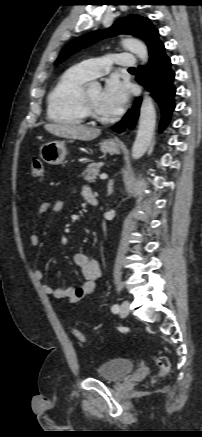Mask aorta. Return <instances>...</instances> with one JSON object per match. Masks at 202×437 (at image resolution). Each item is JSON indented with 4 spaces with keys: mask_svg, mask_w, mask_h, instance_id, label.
Masks as SVG:
<instances>
[{
    "mask_svg": "<svg viewBox=\"0 0 202 437\" xmlns=\"http://www.w3.org/2000/svg\"><path fill=\"white\" fill-rule=\"evenodd\" d=\"M122 45L133 52L143 64L149 59L147 46L136 38H126ZM91 89L100 90L101 85L98 82L90 84ZM156 112L151 96L148 92L144 93L143 101L140 108V118L138 132L132 147L131 156L133 159L141 158L149 148L155 130Z\"/></svg>",
    "mask_w": 202,
    "mask_h": 437,
    "instance_id": "762f6f07",
    "label": "aorta"
}]
</instances>
